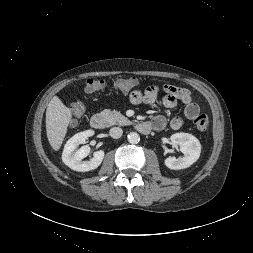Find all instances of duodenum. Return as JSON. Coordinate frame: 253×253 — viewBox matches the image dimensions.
Wrapping results in <instances>:
<instances>
[{"label":"duodenum","instance_id":"1","mask_svg":"<svg viewBox=\"0 0 253 253\" xmlns=\"http://www.w3.org/2000/svg\"><path fill=\"white\" fill-rule=\"evenodd\" d=\"M91 127L94 129H103L106 126V118L101 113L94 114L90 119ZM136 129L143 134L150 132L153 125L150 122H140L136 125Z\"/></svg>","mask_w":253,"mask_h":253}]
</instances>
